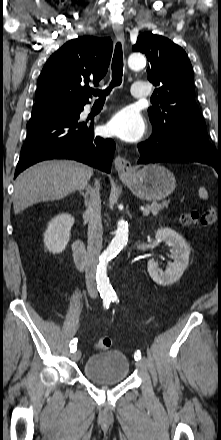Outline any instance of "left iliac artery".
<instances>
[{
    "instance_id": "left-iliac-artery-1",
    "label": "left iliac artery",
    "mask_w": 221,
    "mask_h": 440,
    "mask_svg": "<svg viewBox=\"0 0 221 440\" xmlns=\"http://www.w3.org/2000/svg\"><path fill=\"white\" fill-rule=\"evenodd\" d=\"M111 300L114 302H118L119 300H118V297L116 296V295H111ZM134 358H135V360L136 361H138V360H140L141 359V352L138 350L137 352H135V354H134Z\"/></svg>"
}]
</instances>
